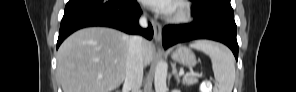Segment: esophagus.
Listing matches in <instances>:
<instances>
[{
    "label": "esophagus",
    "instance_id": "esophagus-1",
    "mask_svg": "<svg viewBox=\"0 0 296 92\" xmlns=\"http://www.w3.org/2000/svg\"><path fill=\"white\" fill-rule=\"evenodd\" d=\"M151 24L153 26L154 30V38L157 42L161 41V36H162V26L160 23L156 22L155 20H151Z\"/></svg>",
    "mask_w": 296,
    "mask_h": 92
}]
</instances>
